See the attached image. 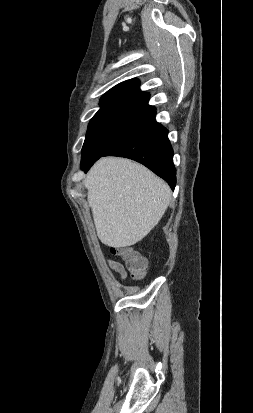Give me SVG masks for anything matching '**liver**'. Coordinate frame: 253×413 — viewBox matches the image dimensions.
Listing matches in <instances>:
<instances>
[{
  "label": "liver",
  "mask_w": 253,
  "mask_h": 413,
  "mask_svg": "<svg viewBox=\"0 0 253 413\" xmlns=\"http://www.w3.org/2000/svg\"><path fill=\"white\" fill-rule=\"evenodd\" d=\"M84 185L97 235L109 247L141 241L161 220L171 200V190L162 179L124 158L99 159Z\"/></svg>",
  "instance_id": "obj_1"
}]
</instances>
